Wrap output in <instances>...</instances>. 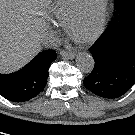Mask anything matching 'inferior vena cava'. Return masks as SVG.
Returning a JSON list of instances; mask_svg holds the SVG:
<instances>
[{
    "label": "inferior vena cava",
    "mask_w": 135,
    "mask_h": 135,
    "mask_svg": "<svg viewBox=\"0 0 135 135\" xmlns=\"http://www.w3.org/2000/svg\"><path fill=\"white\" fill-rule=\"evenodd\" d=\"M60 38L55 32H45L41 37V43L46 48H57L60 46Z\"/></svg>",
    "instance_id": "1"
}]
</instances>
